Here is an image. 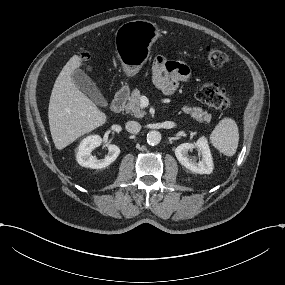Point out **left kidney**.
I'll use <instances>...</instances> for the list:
<instances>
[{
    "instance_id": "left-kidney-1",
    "label": "left kidney",
    "mask_w": 285,
    "mask_h": 285,
    "mask_svg": "<svg viewBox=\"0 0 285 285\" xmlns=\"http://www.w3.org/2000/svg\"><path fill=\"white\" fill-rule=\"evenodd\" d=\"M197 147L199 152L202 155V160L196 162L195 159H190L188 157V151ZM175 155L178 161L185 166L187 169L198 173V174H210L213 171L214 164L212 155L209 149V145L207 139L202 136L200 137L195 144L191 143H183L180 144L175 149Z\"/></svg>"
}]
</instances>
